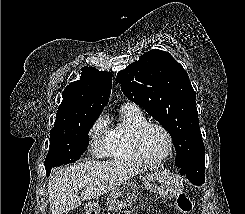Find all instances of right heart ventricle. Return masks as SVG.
<instances>
[{
    "label": "right heart ventricle",
    "mask_w": 245,
    "mask_h": 214,
    "mask_svg": "<svg viewBox=\"0 0 245 214\" xmlns=\"http://www.w3.org/2000/svg\"><path fill=\"white\" fill-rule=\"evenodd\" d=\"M146 121L138 106L132 103L123 104L117 120L108 127L105 155L118 162L141 163L133 150L132 134L136 127Z\"/></svg>",
    "instance_id": "right-heart-ventricle-1"
}]
</instances>
